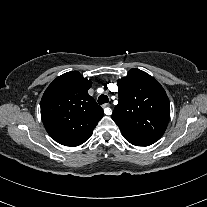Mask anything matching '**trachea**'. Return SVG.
<instances>
[{"instance_id":"3493384b","label":"trachea","mask_w":207,"mask_h":207,"mask_svg":"<svg viewBox=\"0 0 207 207\" xmlns=\"http://www.w3.org/2000/svg\"><path fill=\"white\" fill-rule=\"evenodd\" d=\"M109 101L108 97L104 94L100 95L99 98H98V103L100 105L104 104V103H107Z\"/></svg>"}]
</instances>
